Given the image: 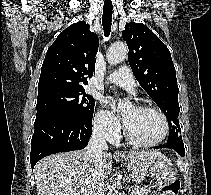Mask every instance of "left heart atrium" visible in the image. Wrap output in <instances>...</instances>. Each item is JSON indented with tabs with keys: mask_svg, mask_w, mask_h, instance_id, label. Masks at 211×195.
<instances>
[{
	"mask_svg": "<svg viewBox=\"0 0 211 195\" xmlns=\"http://www.w3.org/2000/svg\"><path fill=\"white\" fill-rule=\"evenodd\" d=\"M106 103H108V104H113V99H112V98L106 99Z\"/></svg>",
	"mask_w": 211,
	"mask_h": 195,
	"instance_id": "left-heart-atrium-1",
	"label": "left heart atrium"
}]
</instances>
